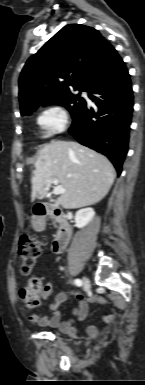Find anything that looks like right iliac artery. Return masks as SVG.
Returning a JSON list of instances; mask_svg holds the SVG:
<instances>
[{"instance_id": "1", "label": "right iliac artery", "mask_w": 145, "mask_h": 385, "mask_svg": "<svg viewBox=\"0 0 145 385\" xmlns=\"http://www.w3.org/2000/svg\"><path fill=\"white\" fill-rule=\"evenodd\" d=\"M74 283H75L76 286H81L82 285V281L80 279H75Z\"/></svg>"}]
</instances>
